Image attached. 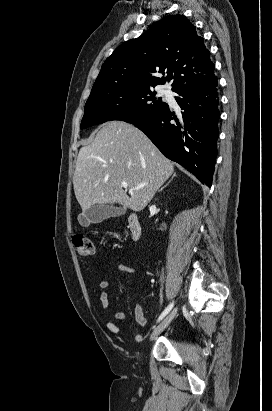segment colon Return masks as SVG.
Segmentation results:
<instances>
[{
  "instance_id": "obj_1",
  "label": "colon",
  "mask_w": 272,
  "mask_h": 411,
  "mask_svg": "<svg viewBox=\"0 0 272 411\" xmlns=\"http://www.w3.org/2000/svg\"><path fill=\"white\" fill-rule=\"evenodd\" d=\"M73 244L80 256H91L95 252L94 243L89 237L76 235L73 238Z\"/></svg>"
}]
</instances>
